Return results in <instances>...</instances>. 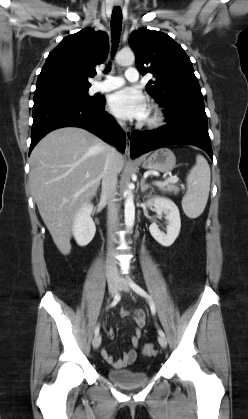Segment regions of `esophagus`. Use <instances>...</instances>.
<instances>
[{"label":"esophagus","mask_w":248,"mask_h":419,"mask_svg":"<svg viewBox=\"0 0 248 419\" xmlns=\"http://www.w3.org/2000/svg\"><path fill=\"white\" fill-rule=\"evenodd\" d=\"M125 135H126V154L129 155L130 154V141H131V137H132V133L129 129H125Z\"/></svg>","instance_id":"34e87169"}]
</instances>
